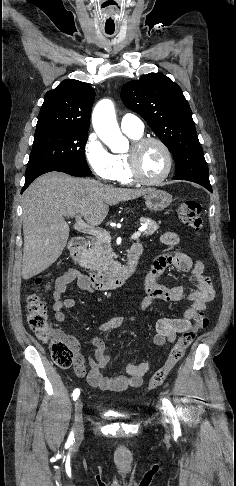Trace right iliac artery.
<instances>
[{
	"mask_svg": "<svg viewBox=\"0 0 236 486\" xmlns=\"http://www.w3.org/2000/svg\"><path fill=\"white\" fill-rule=\"evenodd\" d=\"M79 395H80V390L79 389H75L73 391V394H72L73 399L76 400L79 397ZM73 440H74V434H73V432H71V434L69 436V441L72 442Z\"/></svg>",
	"mask_w": 236,
	"mask_h": 486,
	"instance_id": "right-iliac-artery-1",
	"label": "right iliac artery"
}]
</instances>
